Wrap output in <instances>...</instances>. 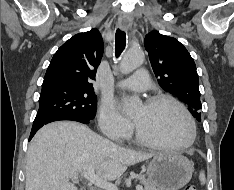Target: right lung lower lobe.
<instances>
[{
	"label": "right lung lower lobe",
	"mask_w": 234,
	"mask_h": 190,
	"mask_svg": "<svg viewBox=\"0 0 234 190\" xmlns=\"http://www.w3.org/2000/svg\"><path fill=\"white\" fill-rule=\"evenodd\" d=\"M60 120H71V121H77V122H80V123H84V124H88L90 121H84V120H81V119H78V118H73V117H57V118H54V119H51L50 121L46 122V123H43V124H40L34 128H32L31 130V134H30V137H29V141L31 140V138L35 135V133L45 124H48L50 122H53V121H60Z\"/></svg>",
	"instance_id": "obj_1"
}]
</instances>
